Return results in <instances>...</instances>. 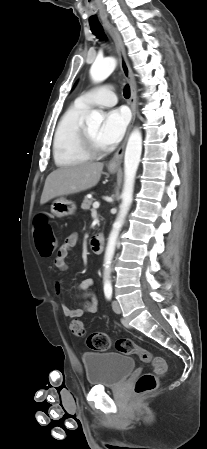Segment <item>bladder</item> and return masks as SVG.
<instances>
[{
	"mask_svg": "<svg viewBox=\"0 0 207 449\" xmlns=\"http://www.w3.org/2000/svg\"><path fill=\"white\" fill-rule=\"evenodd\" d=\"M82 363L90 386L116 387L135 369L134 359L119 352H86Z\"/></svg>",
	"mask_w": 207,
	"mask_h": 449,
	"instance_id": "bladder-1",
	"label": "bladder"
}]
</instances>
